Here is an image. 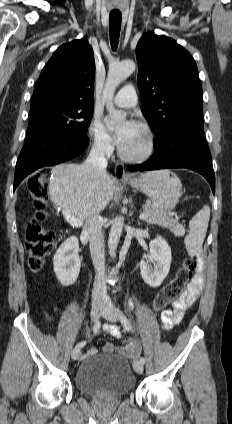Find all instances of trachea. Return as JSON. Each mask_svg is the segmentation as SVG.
I'll return each instance as SVG.
<instances>
[{"mask_svg": "<svg viewBox=\"0 0 232 424\" xmlns=\"http://www.w3.org/2000/svg\"><path fill=\"white\" fill-rule=\"evenodd\" d=\"M121 13L111 12L109 17L110 23V43L112 49L115 51L118 47L119 36L121 30Z\"/></svg>", "mask_w": 232, "mask_h": 424, "instance_id": "trachea-1", "label": "trachea"}]
</instances>
